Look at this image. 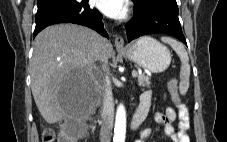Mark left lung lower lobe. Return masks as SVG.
Segmentation results:
<instances>
[{"label":"left lung lower lobe","instance_id":"1","mask_svg":"<svg viewBox=\"0 0 227 142\" xmlns=\"http://www.w3.org/2000/svg\"><path fill=\"white\" fill-rule=\"evenodd\" d=\"M129 42L142 35L162 33L176 37L187 45L178 19V9L152 4L144 9H135L133 21L126 26Z\"/></svg>","mask_w":227,"mask_h":142}]
</instances>
